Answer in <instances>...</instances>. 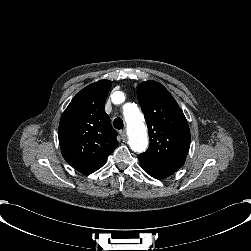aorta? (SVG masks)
I'll return each mask as SVG.
<instances>
[{"mask_svg": "<svg viewBox=\"0 0 251 251\" xmlns=\"http://www.w3.org/2000/svg\"><path fill=\"white\" fill-rule=\"evenodd\" d=\"M122 96V92H114L113 102L119 103L120 100H117V98L121 99ZM123 115L127 125L128 144L131 150L137 153L144 152L148 146V135L143 114L135 103H127L123 106Z\"/></svg>", "mask_w": 251, "mask_h": 251, "instance_id": "aorta-1", "label": "aorta"}]
</instances>
